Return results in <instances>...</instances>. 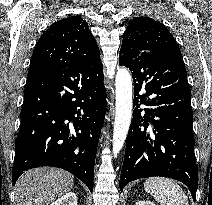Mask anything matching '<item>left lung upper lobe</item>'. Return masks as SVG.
<instances>
[{"mask_svg":"<svg viewBox=\"0 0 212 205\" xmlns=\"http://www.w3.org/2000/svg\"><path fill=\"white\" fill-rule=\"evenodd\" d=\"M147 51L181 56L176 40L162 23L149 17H136L125 31L119 61H128Z\"/></svg>","mask_w":212,"mask_h":205,"instance_id":"left-lung-upper-lobe-1","label":"left lung upper lobe"}]
</instances>
